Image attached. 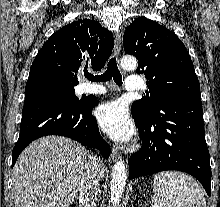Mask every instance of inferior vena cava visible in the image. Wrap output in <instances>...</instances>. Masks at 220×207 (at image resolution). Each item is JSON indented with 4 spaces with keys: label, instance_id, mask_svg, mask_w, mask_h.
<instances>
[{
    "label": "inferior vena cava",
    "instance_id": "obj_1",
    "mask_svg": "<svg viewBox=\"0 0 220 207\" xmlns=\"http://www.w3.org/2000/svg\"><path fill=\"white\" fill-rule=\"evenodd\" d=\"M101 163L97 157H92L90 166L82 176L79 187V207H96V199L99 190L98 179L100 177Z\"/></svg>",
    "mask_w": 220,
    "mask_h": 207
}]
</instances>
